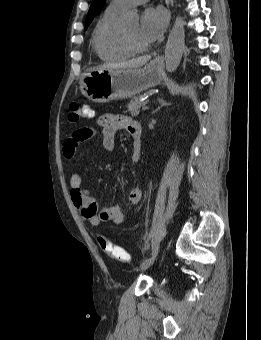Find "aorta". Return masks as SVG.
<instances>
[{"mask_svg": "<svg viewBox=\"0 0 261 340\" xmlns=\"http://www.w3.org/2000/svg\"><path fill=\"white\" fill-rule=\"evenodd\" d=\"M136 18V15L128 14L125 16V21L130 22ZM184 25L183 19L177 17L169 33L165 47V64L168 72H174L180 64L185 47Z\"/></svg>", "mask_w": 261, "mask_h": 340, "instance_id": "762f6f07", "label": "aorta"}]
</instances>
